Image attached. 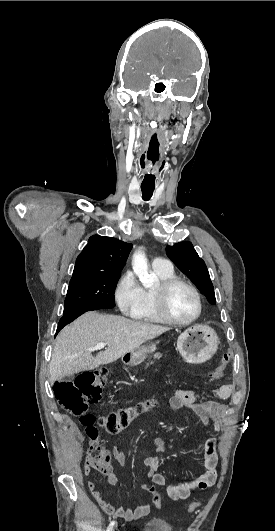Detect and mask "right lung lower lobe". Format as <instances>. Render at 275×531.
Returning a JSON list of instances; mask_svg holds the SVG:
<instances>
[{
  "label": "right lung lower lobe",
  "mask_w": 275,
  "mask_h": 531,
  "mask_svg": "<svg viewBox=\"0 0 275 531\" xmlns=\"http://www.w3.org/2000/svg\"><path fill=\"white\" fill-rule=\"evenodd\" d=\"M83 313L85 312H74L72 314H68V315H63V317L60 319L59 321V324H58V328H57V331H56V334L65 326L67 325L68 323L72 322L73 320H75L77 317H79L80 315H82Z\"/></svg>",
  "instance_id": "right-lung-lower-lobe-1"
}]
</instances>
